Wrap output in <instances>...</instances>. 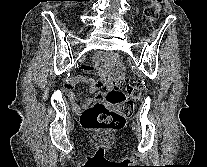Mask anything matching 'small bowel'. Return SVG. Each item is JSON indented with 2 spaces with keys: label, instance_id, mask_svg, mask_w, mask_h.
Here are the masks:
<instances>
[{
  "label": "small bowel",
  "instance_id": "small-bowel-1",
  "mask_svg": "<svg viewBox=\"0 0 207 167\" xmlns=\"http://www.w3.org/2000/svg\"><path fill=\"white\" fill-rule=\"evenodd\" d=\"M77 83L88 84L92 92H97L98 90L102 89L105 86V82L102 79L95 80L93 78L82 76V75H78L70 78L65 85V89L67 91L68 99L71 102L73 108L78 111L89 107L93 103L95 97L93 96L87 97L85 99L84 104L80 106L76 101V95L74 92V87Z\"/></svg>",
  "mask_w": 207,
  "mask_h": 167
}]
</instances>
